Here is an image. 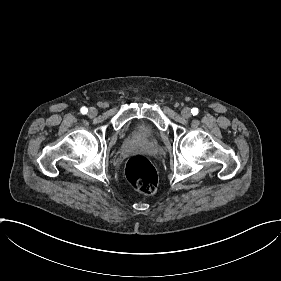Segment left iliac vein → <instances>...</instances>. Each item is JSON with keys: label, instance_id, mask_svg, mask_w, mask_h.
Masks as SVG:
<instances>
[{"label": "left iliac vein", "instance_id": "1", "mask_svg": "<svg viewBox=\"0 0 281 281\" xmlns=\"http://www.w3.org/2000/svg\"><path fill=\"white\" fill-rule=\"evenodd\" d=\"M181 116L184 118V119H189L191 117V109L189 107H184L182 109V113H181Z\"/></svg>", "mask_w": 281, "mask_h": 281}]
</instances>
